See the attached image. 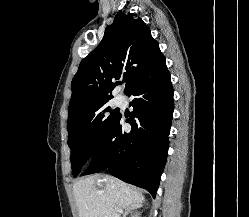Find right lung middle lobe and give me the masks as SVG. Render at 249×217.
<instances>
[{
  "label": "right lung middle lobe",
  "instance_id": "right-lung-middle-lobe-1",
  "mask_svg": "<svg viewBox=\"0 0 249 217\" xmlns=\"http://www.w3.org/2000/svg\"><path fill=\"white\" fill-rule=\"evenodd\" d=\"M108 102L95 103L68 117V145L74 177L99 150L120 116L118 109L111 108Z\"/></svg>",
  "mask_w": 249,
  "mask_h": 217
}]
</instances>
